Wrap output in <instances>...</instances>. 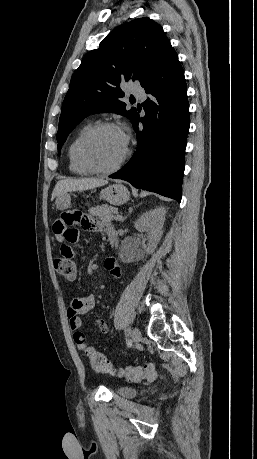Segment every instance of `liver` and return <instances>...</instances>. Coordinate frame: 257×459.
Listing matches in <instances>:
<instances>
[{
  "mask_svg": "<svg viewBox=\"0 0 257 459\" xmlns=\"http://www.w3.org/2000/svg\"><path fill=\"white\" fill-rule=\"evenodd\" d=\"M108 183L107 180L97 178H80V179H64L57 182L52 192V200L62 194L72 191H83L104 186Z\"/></svg>",
  "mask_w": 257,
  "mask_h": 459,
  "instance_id": "obj_1",
  "label": "liver"
}]
</instances>
